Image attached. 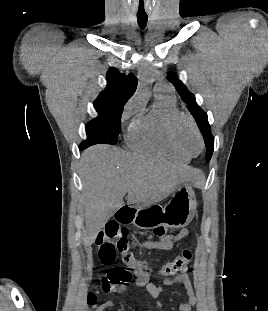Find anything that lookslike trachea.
Masks as SVG:
<instances>
[{
    "label": "trachea",
    "mask_w": 268,
    "mask_h": 311,
    "mask_svg": "<svg viewBox=\"0 0 268 311\" xmlns=\"http://www.w3.org/2000/svg\"><path fill=\"white\" fill-rule=\"evenodd\" d=\"M148 16L147 15H137V22L141 29H144L147 25Z\"/></svg>",
    "instance_id": "obj_1"
}]
</instances>
